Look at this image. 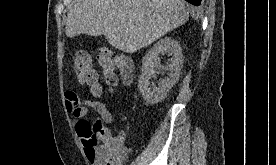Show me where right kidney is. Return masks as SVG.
Segmentation results:
<instances>
[{
  "instance_id": "ca27d5eb",
  "label": "right kidney",
  "mask_w": 276,
  "mask_h": 165,
  "mask_svg": "<svg viewBox=\"0 0 276 165\" xmlns=\"http://www.w3.org/2000/svg\"><path fill=\"white\" fill-rule=\"evenodd\" d=\"M160 54L171 56L166 66L161 65ZM182 64L183 55L181 46L177 40L171 37L160 39L143 57L142 74L138 81V88L143 99L148 104H157L166 98L168 91L179 79ZM155 68L162 73L168 71V76L159 80L158 87L151 90L150 80L155 76Z\"/></svg>"
}]
</instances>
